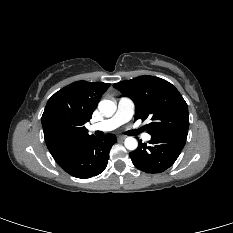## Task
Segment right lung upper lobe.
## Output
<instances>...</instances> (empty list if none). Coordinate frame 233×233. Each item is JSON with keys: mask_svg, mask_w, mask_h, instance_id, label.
Here are the masks:
<instances>
[{"mask_svg": "<svg viewBox=\"0 0 233 233\" xmlns=\"http://www.w3.org/2000/svg\"><path fill=\"white\" fill-rule=\"evenodd\" d=\"M110 84L74 82L56 92L47 102L41 121L47 147L60 163L94 135H89L88 122L103 93Z\"/></svg>", "mask_w": 233, "mask_h": 233, "instance_id": "right-lung-upper-lobe-1", "label": "right lung upper lobe"}]
</instances>
